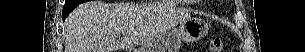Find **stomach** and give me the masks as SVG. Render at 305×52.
I'll use <instances>...</instances> for the list:
<instances>
[{
  "mask_svg": "<svg viewBox=\"0 0 305 52\" xmlns=\"http://www.w3.org/2000/svg\"><path fill=\"white\" fill-rule=\"evenodd\" d=\"M208 32L207 24L198 18L184 20L133 52H178L182 42H195ZM131 52V51H130Z\"/></svg>",
  "mask_w": 305,
  "mask_h": 52,
  "instance_id": "0dacf381",
  "label": "stomach"
}]
</instances>
